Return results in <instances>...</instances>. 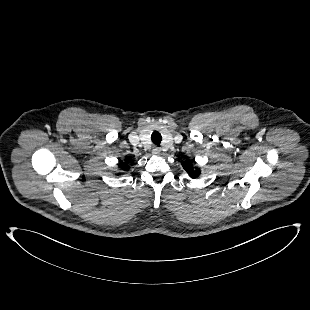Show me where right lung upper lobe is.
Masks as SVG:
<instances>
[{"label":"right lung upper lobe","instance_id":"obj_1","mask_svg":"<svg viewBox=\"0 0 310 310\" xmlns=\"http://www.w3.org/2000/svg\"><path fill=\"white\" fill-rule=\"evenodd\" d=\"M129 163H132L131 159L130 158H126L124 161H121L119 163V168L124 170V171H128L129 168H130Z\"/></svg>","mask_w":310,"mask_h":310}]
</instances>
